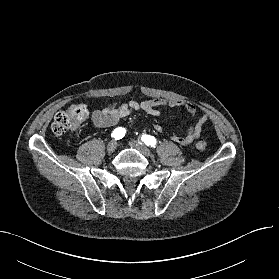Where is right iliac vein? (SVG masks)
<instances>
[{"mask_svg": "<svg viewBox=\"0 0 279 279\" xmlns=\"http://www.w3.org/2000/svg\"><path fill=\"white\" fill-rule=\"evenodd\" d=\"M117 147V142L116 141H111L107 145V152L108 153H113L116 150Z\"/></svg>", "mask_w": 279, "mask_h": 279, "instance_id": "1", "label": "right iliac vein"}]
</instances>
